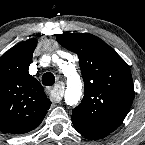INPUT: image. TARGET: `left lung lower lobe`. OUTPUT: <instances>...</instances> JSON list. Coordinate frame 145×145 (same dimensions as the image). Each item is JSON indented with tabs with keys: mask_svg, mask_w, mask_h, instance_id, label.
Instances as JSON below:
<instances>
[{
	"mask_svg": "<svg viewBox=\"0 0 145 145\" xmlns=\"http://www.w3.org/2000/svg\"><path fill=\"white\" fill-rule=\"evenodd\" d=\"M73 124H74L75 129L80 134H82L83 136H85L86 138H89V139H93V140L101 139V138H104L105 136L108 135L106 133H102V132H98V131L89 129V128L85 127V126H82V125L76 123V122H73Z\"/></svg>",
	"mask_w": 145,
	"mask_h": 145,
	"instance_id": "0a47b994",
	"label": "left lung lower lobe"
}]
</instances>
